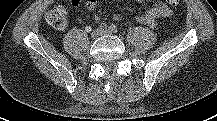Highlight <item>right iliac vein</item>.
I'll return each mask as SVG.
<instances>
[{
    "label": "right iliac vein",
    "instance_id": "63e3f726",
    "mask_svg": "<svg viewBox=\"0 0 217 121\" xmlns=\"http://www.w3.org/2000/svg\"><path fill=\"white\" fill-rule=\"evenodd\" d=\"M101 35V31L100 30H95L92 32L91 37L93 39H96L97 37H99Z\"/></svg>",
    "mask_w": 217,
    "mask_h": 121
}]
</instances>
